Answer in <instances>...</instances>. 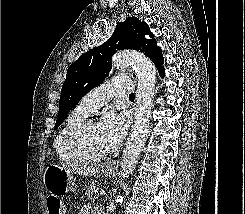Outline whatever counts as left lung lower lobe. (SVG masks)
<instances>
[{"label":"left lung lower lobe","instance_id":"0a47b994","mask_svg":"<svg viewBox=\"0 0 245 214\" xmlns=\"http://www.w3.org/2000/svg\"><path fill=\"white\" fill-rule=\"evenodd\" d=\"M159 73H160V76L163 77L164 76V69L161 70Z\"/></svg>","mask_w":245,"mask_h":214}]
</instances>
